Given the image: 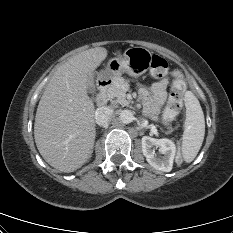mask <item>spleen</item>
Returning a JSON list of instances; mask_svg holds the SVG:
<instances>
[{
	"label": "spleen",
	"mask_w": 233,
	"mask_h": 233,
	"mask_svg": "<svg viewBox=\"0 0 233 233\" xmlns=\"http://www.w3.org/2000/svg\"><path fill=\"white\" fill-rule=\"evenodd\" d=\"M186 120L182 137V157L186 163L194 160L198 154L205 135V119L202 108L192 92H186Z\"/></svg>",
	"instance_id": "obj_1"
}]
</instances>
